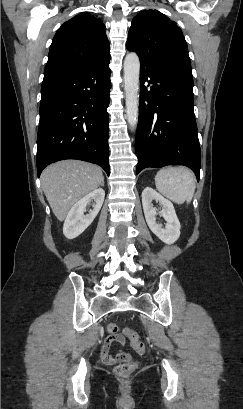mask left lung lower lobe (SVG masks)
<instances>
[{"instance_id": "obj_1", "label": "left lung lower lobe", "mask_w": 243, "mask_h": 409, "mask_svg": "<svg viewBox=\"0 0 243 409\" xmlns=\"http://www.w3.org/2000/svg\"><path fill=\"white\" fill-rule=\"evenodd\" d=\"M197 133L191 64L176 61L141 68L136 174L147 167L185 165L199 181Z\"/></svg>"}]
</instances>
